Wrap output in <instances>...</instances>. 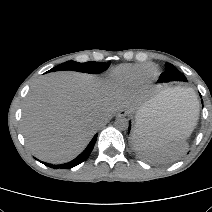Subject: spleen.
Wrapping results in <instances>:
<instances>
[{
    "mask_svg": "<svg viewBox=\"0 0 212 212\" xmlns=\"http://www.w3.org/2000/svg\"><path fill=\"white\" fill-rule=\"evenodd\" d=\"M169 96L191 114L198 113V100L191 88H174L162 92L161 96ZM149 120L136 115V127L133 141L138 143L148 158L156 162H165L182 156L188 148L185 136L174 137L162 135L160 132L147 128Z\"/></svg>",
    "mask_w": 212,
    "mask_h": 212,
    "instance_id": "1",
    "label": "spleen"
}]
</instances>
